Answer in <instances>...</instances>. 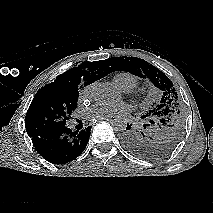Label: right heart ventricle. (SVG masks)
I'll return each mask as SVG.
<instances>
[{"label": "right heart ventricle", "mask_w": 213, "mask_h": 213, "mask_svg": "<svg viewBox=\"0 0 213 213\" xmlns=\"http://www.w3.org/2000/svg\"><path fill=\"white\" fill-rule=\"evenodd\" d=\"M113 81L125 92L132 91L138 84L137 77L129 72L117 73L114 76Z\"/></svg>", "instance_id": "right-heart-ventricle-1"}]
</instances>
